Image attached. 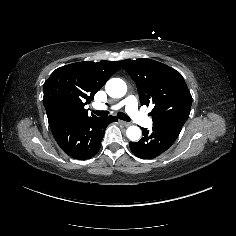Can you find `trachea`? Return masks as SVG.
Segmentation results:
<instances>
[{
    "instance_id": "obj_1",
    "label": "trachea",
    "mask_w": 236,
    "mask_h": 236,
    "mask_svg": "<svg viewBox=\"0 0 236 236\" xmlns=\"http://www.w3.org/2000/svg\"><path fill=\"white\" fill-rule=\"evenodd\" d=\"M94 114L100 117H106L109 114L108 110H92ZM117 117L123 121H130L131 119L123 112H118Z\"/></svg>"
}]
</instances>
